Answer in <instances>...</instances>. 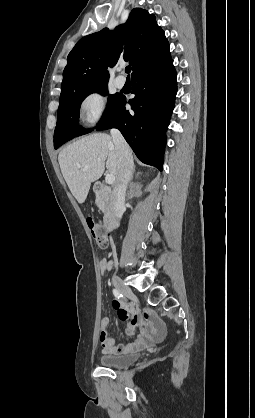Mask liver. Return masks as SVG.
<instances>
[{"instance_id":"6515ba94","label":"liver","mask_w":255,"mask_h":418,"mask_svg":"<svg viewBox=\"0 0 255 418\" xmlns=\"http://www.w3.org/2000/svg\"><path fill=\"white\" fill-rule=\"evenodd\" d=\"M62 175L78 203L87 198L90 185L104 170L117 179L118 154L110 135L95 133L65 147L58 156ZM78 165L80 168H78Z\"/></svg>"}]
</instances>
